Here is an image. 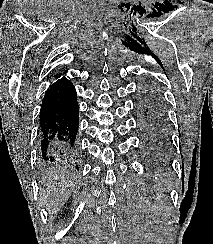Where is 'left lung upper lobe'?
I'll use <instances>...</instances> for the list:
<instances>
[{
  "instance_id": "5c2ea615",
  "label": "left lung upper lobe",
  "mask_w": 213,
  "mask_h": 244,
  "mask_svg": "<svg viewBox=\"0 0 213 244\" xmlns=\"http://www.w3.org/2000/svg\"><path fill=\"white\" fill-rule=\"evenodd\" d=\"M140 117L160 135L165 136L168 129V119L164 101L154 84H143L139 98Z\"/></svg>"
}]
</instances>
